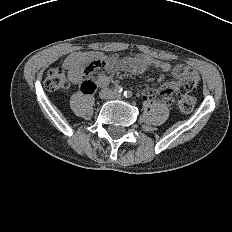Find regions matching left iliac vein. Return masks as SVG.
<instances>
[{"label": "left iliac vein", "instance_id": "4c4485c4", "mask_svg": "<svg viewBox=\"0 0 232 232\" xmlns=\"http://www.w3.org/2000/svg\"><path fill=\"white\" fill-rule=\"evenodd\" d=\"M115 98H118V99H119V98H120V95H116Z\"/></svg>", "mask_w": 232, "mask_h": 232}]
</instances>
